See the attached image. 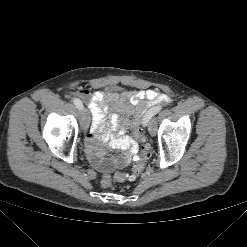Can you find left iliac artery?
Returning a JSON list of instances; mask_svg holds the SVG:
<instances>
[{
	"label": "left iliac artery",
	"mask_w": 247,
	"mask_h": 247,
	"mask_svg": "<svg viewBox=\"0 0 247 247\" xmlns=\"http://www.w3.org/2000/svg\"><path fill=\"white\" fill-rule=\"evenodd\" d=\"M162 109V106H155L153 108H151L149 111H147V113L144 115L143 117V123L146 124L149 122V120L156 115L158 112H160Z\"/></svg>",
	"instance_id": "44dca946"
}]
</instances>
